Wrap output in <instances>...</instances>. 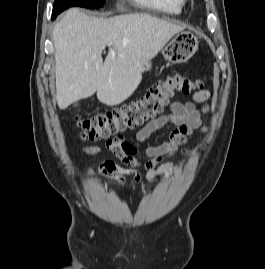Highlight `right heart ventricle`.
<instances>
[{
  "label": "right heart ventricle",
  "mask_w": 265,
  "mask_h": 269,
  "mask_svg": "<svg viewBox=\"0 0 265 269\" xmlns=\"http://www.w3.org/2000/svg\"><path fill=\"white\" fill-rule=\"evenodd\" d=\"M138 6L166 14H179L182 11L181 0H132Z\"/></svg>",
  "instance_id": "1"
}]
</instances>
